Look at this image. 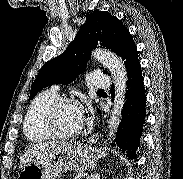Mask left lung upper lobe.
I'll return each instance as SVG.
<instances>
[{
    "label": "left lung upper lobe",
    "mask_w": 183,
    "mask_h": 179,
    "mask_svg": "<svg viewBox=\"0 0 183 179\" xmlns=\"http://www.w3.org/2000/svg\"><path fill=\"white\" fill-rule=\"evenodd\" d=\"M126 32L122 22L109 12L94 11L86 15V23L81 25L74 41L61 55L42 66L32 83L29 99L47 86L73 82L85 70L91 50L96 46L116 53ZM104 73L110 74L107 70Z\"/></svg>",
    "instance_id": "left-lung-upper-lobe-1"
}]
</instances>
